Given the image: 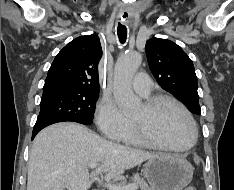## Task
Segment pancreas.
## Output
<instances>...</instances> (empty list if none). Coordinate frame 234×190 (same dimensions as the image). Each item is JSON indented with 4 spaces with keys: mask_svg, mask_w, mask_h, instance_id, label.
I'll use <instances>...</instances> for the list:
<instances>
[{
    "mask_svg": "<svg viewBox=\"0 0 234 190\" xmlns=\"http://www.w3.org/2000/svg\"><path fill=\"white\" fill-rule=\"evenodd\" d=\"M130 184L137 185V187H140L141 190H154V188L149 186L146 183V181L139 174H134L131 177V183ZM130 184H128V185H130ZM118 186H126L125 179H122V181L118 184Z\"/></svg>",
    "mask_w": 234,
    "mask_h": 190,
    "instance_id": "obj_1",
    "label": "pancreas"
}]
</instances>
